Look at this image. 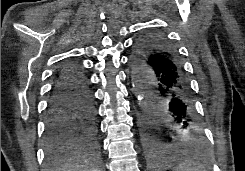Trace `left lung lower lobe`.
<instances>
[{"instance_id":"1","label":"left lung lower lobe","mask_w":245,"mask_h":171,"mask_svg":"<svg viewBox=\"0 0 245 171\" xmlns=\"http://www.w3.org/2000/svg\"><path fill=\"white\" fill-rule=\"evenodd\" d=\"M128 66L134 67V75L146 93L148 122L167 128L164 138L154 132L145 134L143 145L149 160L148 166L168 167V162L182 157L183 153L166 148V143L191 132L197 122L189 81L182 63L172 45H162L151 54L150 61L129 62ZM172 166L177 167L178 163L173 162Z\"/></svg>"}]
</instances>
